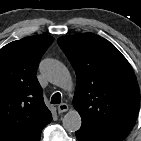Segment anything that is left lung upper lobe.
Wrapping results in <instances>:
<instances>
[{"label": "left lung upper lobe", "instance_id": "5c2ea615", "mask_svg": "<svg viewBox=\"0 0 141 141\" xmlns=\"http://www.w3.org/2000/svg\"><path fill=\"white\" fill-rule=\"evenodd\" d=\"M58 44L76 72L73 105L81 116V128L122 141L133 128L140 106L138 82L129 62L93 33L63 36Z\"/></svg>", "mask_w": 141, "mask_h": 141}]
</instances>
